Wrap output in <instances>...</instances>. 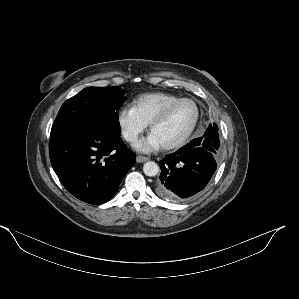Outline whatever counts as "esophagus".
<instances>
[{"mask_svg":"<svg viewBox=\"0 0 299 299\" xmlns=\"http://www.w3.org/2000/svg\"><path fill=\"white\" fill-rule=\"evenodd\" d=\"M149 160V157H145V156H141V155H138L137 157H136V161L138 162V163H143V162H146V161H148Z\"/></svg>","mask_w":299,"mask_h":299,"instance_id":"esophagus-1","label":"esophagus"}]
</instances>
